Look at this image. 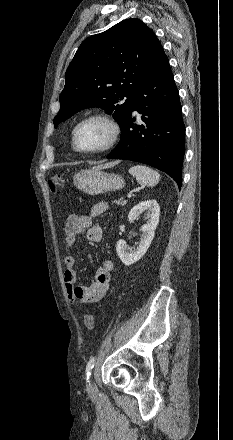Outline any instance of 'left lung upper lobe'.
Segmentation results:
<instances>
[{"label":"left lung upper lobe","mask_w":233,"mask_h":440,"mask_svg":"<svg viewBox=\"0 0 233 440\" xmlns=\"http://www.w3.org/2000/svg\"><path fill=\"white\" fill-rule=\"evenodd\" d=\"M162 52L154 32L139 19L84 40L66 71L54 126L84 108L99 107L113 113L122 129L136 91Z\"/></svg>","instance_id":"5c2ea615"}]
</instances>
